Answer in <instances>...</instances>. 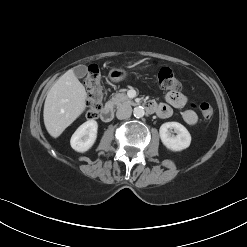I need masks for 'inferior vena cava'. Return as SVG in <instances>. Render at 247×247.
Instances as JSON below:
<instances>
[{"mask_svg": "<svg viewBox=\"0 0 247 247\" xmlns=\"http://www.w3.org/2000/svg\"><path fill=\"white\" fill-rule=\"evenodd\" d=\"M132 114V107L130 105L124 104L118 107L116 116L118 119H127Z\"/></svg>", "mask_w": 247, "mask_h": 247, "instance_id": "obj_1", "label": "inferior vena cava"}]
</instances>
